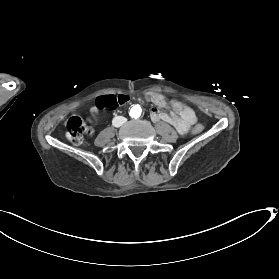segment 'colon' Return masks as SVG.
Masks as SVG:
<instances>
[{"label":"colon","instance_id":"colon-1","mask_svg":"<svg viewBox=\"0 0 279 279\" xmlns=\"http://www.w3.org/2000/svg\"><path fill=\"white\" fill-rule=\"evenodd\" d=\"M128 102L129 97L124 94L102 95L95 100V107L98 109H116L126 105ZM177 109L182 115L193 113L188 106L180 102ZM203 130L204 126L202 124H196L192 129V133L197 135L203 132ZM65 134L71 142L80 144L91 134V128L87 126L79 116L73 115L66 122Z\"/></svg>","mask_w":279,"mask_h":279}]
</instances>
